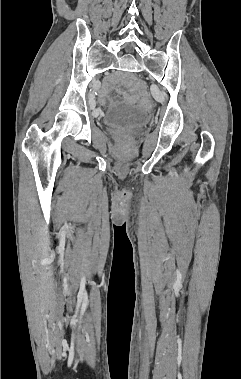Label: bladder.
I'll list each match as a JSON object with an SVG mask.
<instances>
[{
  "mask_svg": "<svg viewBox=\"0 0 241 379\" xmlns=\"http://www.w3.org/2000/svg\"><path fill=\"white\" fill-rule=\"evenodd\" d=\"M149 114L136 106L117 104L109 108L102 116L105 125L120 129H135L145 125Z\"/></svg>",
  "mask_w": 241,
  "mask_h": 379,
  "instance_id": "obj_1",
  "label": "bladder"
}]
</instances>
